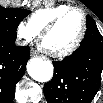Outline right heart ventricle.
Returning <instances> with one entry per match:
<instances>
[{
    "instance_id": "1",
    "label": "right heart ventricle",
    "mask_w": 103,
    "mask_h": 103,
    "mask_svg": "<svg viewBox=\"0 0 103 103\" xmlns=\"http://www.w3.org/2000/svg\"><path fill=\"white\" fill-rule=\"evenodd\" d=\"M68 4H59L52 7L38 9L28 19L29 26L37 33H41L43 28L59 13L70 8Z\"/></svg>"
}]
</instances>
